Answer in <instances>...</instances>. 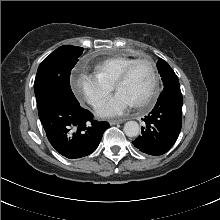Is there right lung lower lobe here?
Returning <instances> with one entry per match:
<instances>
[{"mask_svg":"<svg viewBox=\"0 0 220 220\" xmlns=\"http://www.w3.org/2000/svg\"><path fill=\"white\" fill-rule=\"evenodd\" d=\"M46 136L61 155L76 159L87 156L98 147L107 122L93 120L90 111L79 102L55 96L38 108Z\"/></svg>","mask_w":220,"mask_h":220,"instance_id":"1","label":"right lung lower lobe"}]
</instances>
